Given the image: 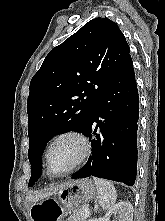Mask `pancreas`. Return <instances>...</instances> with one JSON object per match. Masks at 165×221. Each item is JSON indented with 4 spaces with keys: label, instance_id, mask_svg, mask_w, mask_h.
<instances>
[{
    "label": "pancreas",
    "instance_id": "obj_1",
    "mask_svg": "<svg viewBox=\"0 0 165 221\" xmlns=\"http://www.w3.org/2000/svg\"><path fill=\"white\" fill-rule=\"evenodd\" d=\"M86 215L84 213L83 207H79L77 210L73 211V214L69 216L68 221H86Z\"/></svg>",
    "mask_w": 165,
    "mask_h": 221
}]
</instances>
